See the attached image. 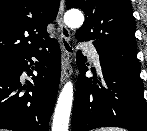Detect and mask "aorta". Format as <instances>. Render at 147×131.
Wrapping results in <instances>:
<instances>
[{
	"instance_id": "aorta-1",
	"label": "aorta",
	"mask_w": 147,
	"mask_h": 131,
	"mask_svg": "<svg viewBox=\"0 0 147 131\" xmlns=\"http://www.w3.org/2000/svg\"><path fill=\"white\" fill-rule=\"evenodd\" d=\"M64 21L71 28H78L84 22V16L79 10H69L64 15ZM73 102V84L67 82L62 89L53 116L52 131H68L69 118Z\"/></svg>"
}]
</instances>
